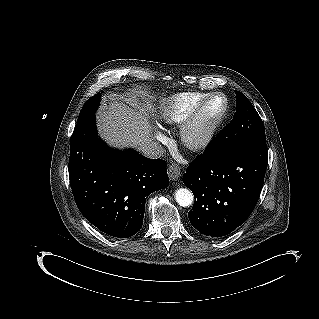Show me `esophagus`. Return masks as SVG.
Returning <instances> with one entry per match:
<instances>
[{
  "mask_svg": "<svg viewBox=\"0 0 319 319\" xmlns=\"http://www.w3.org/2000/svg\"><path fill=\"white\" fill-rule=\"evenodd\" d=\"M180 166L176 163H172L168 167V176L170 180L175 181L179 178L180 176Z\"/></svg>",
  "mask_w": 319,
  "mask_h": 319,
  "instance_id": "esophagus-1",
  "label": "esophagus"
}]
</instances>
